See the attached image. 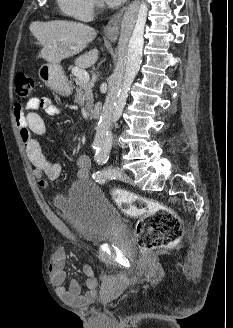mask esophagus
I'll list each match as a JSON object with an SVG mask.
<instances>
[{
    "instance_id": "esophagus-1",
    "label": "esophagus",
    "mask_w": 233,
    "mask_h": 328,
    "mask_svg": "<svg viewBox=\"0 0 233 328\" xmlns=\"http://www.w3.org/2000/svg\"><path fill=\"white\" fill-rule=\"evenodd\" d=\"M126 9V6H124L120 11L115 13L107 25L104 27V35L109 40H116L119 34V28H120V22L123 16V13Z\"/></svg>"
}]
</instances>
